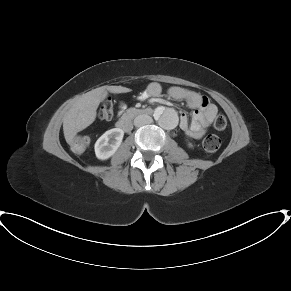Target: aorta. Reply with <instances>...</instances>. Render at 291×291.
<instances>
[{"label": "aorta", "instance_id": "aorta-1", "mask_svg": "<svg viewBox=\"0 0 291 291\" xmlns=\"http://www.w3.org/2000/svg\"><path fill=\"white\" fill-rule=\"evenodd\" d=\"M158 124L164 129H174L177 126V115L174 111L165 109L155 114Z\"/></svg>", "mask_w": 291, "mask_h": 291}]
</instances>
